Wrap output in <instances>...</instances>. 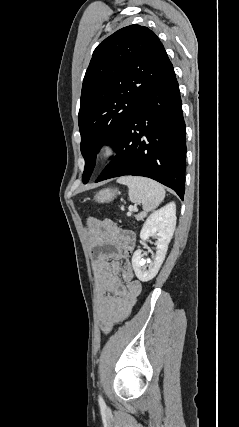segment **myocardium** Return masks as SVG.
I'll use <instances>...</instances> for the list:
<instances>
[{
  "label": "myocardium",
  "instance_id": "myocardium-1",
  "mask_svg": "<svg viewBox=\"0 0 239 427\" xmlns=\"http://www.w3.org/2000/svg\"><path fill=\"white\" fill-rule=\"evenodd\" d=\"M121 151L119 142L114 138H107L100 143L97 156L101 160L108 161L116 158Z\"/></svg>",
  "mask_w": 239,
  "mask_h": 427
}]
</instances>
